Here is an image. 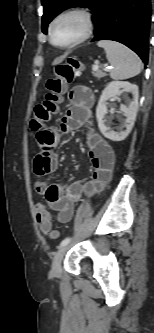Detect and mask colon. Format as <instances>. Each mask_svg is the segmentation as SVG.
Here are the masks:
<instances>
[{
    "label": "colon",
    "instance_id": "colon-1",
    "mask_svg": "<svg viewBox=\"0 0 154 333\" xmlns=\"http://www.w3.org/2000/svg\"><path fill=\"white\" fill-rule=\"evenodd\" d=\"M80 69V62L73 58L56 67L54 76L47 81L48 92L45 99L34 108V114L30 122L33 133L39 132L46 122L57 113L67 85L74 80ZM35 217L38 226L44 233L51 237H57V232L52 230L51 214L45 204L38 203L35 205Z\"/></svg>",
    "mask_w": 154,
    "mask_h": 333
}]
</instances>
